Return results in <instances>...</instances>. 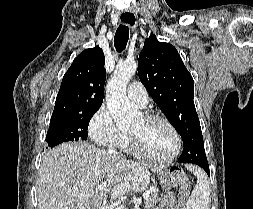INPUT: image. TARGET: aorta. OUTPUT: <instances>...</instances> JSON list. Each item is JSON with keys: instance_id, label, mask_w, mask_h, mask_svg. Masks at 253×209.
Returning <instances> with one entry per match:
<instances>
[{"instance_id": "762f6f07", "label": "aorta", "mask_w": 253, "mask_h": 209, "mask_svg": "<svg viewBox=\"0 0 253 209\" xmlns=\"http://www.w3.org/2000/svg\"><path fill=\"white\" fill-rule=\"evenodd\" d=\"M137 70V62L127 60L119 63L106 88L108 110L118 128L130 126L138 117L139 112L127 95L126 87Z\"/></svg>"}]
</instances>
